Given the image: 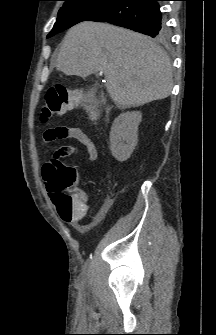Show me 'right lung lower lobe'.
Wrapping results in <instances>:
<instances>
[{"label": "right lung lower lobe", "instance_id": "1", "mask_svg": "<svg viewBox=\"0 0 216 335\" xmlns=\"http://www.w3.org/2000/svg\"><path fill=\"white\" fill-rule=\"evenodd\" d=\"M160 0H116L88 21L108 22L156 38L166 31Z\"/></svg>", "mask_w": 216, "mask_h": 335}]
</instances>
